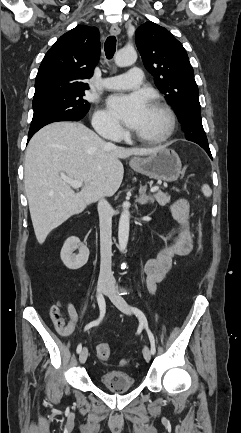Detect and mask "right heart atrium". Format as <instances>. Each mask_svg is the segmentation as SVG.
<instances>
[{"label":"right heart atrium","instance_id":"d8ad5b80","mask_svg":"<svg viewBox=\"0 0 241 433\" xmlns=\"http://www.w3.org/2000/svg\"><path fill=\"white\" fill-rule=\"evenodd\" d=\"M93 126L98 133L112 137H119L123 132L119 122L105 110L95 112Z\"/></svg>","mask_w":241,"mask_h":433}]
</instances>
